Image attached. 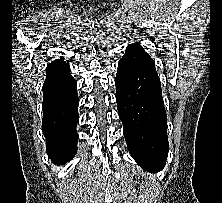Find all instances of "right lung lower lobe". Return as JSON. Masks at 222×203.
<instances>
[{
  "label": "right lung lower lobe",
  "instance_id": "1",
  "mask_svg": "<svg viewBox=\"0 0 222 203\" xmlns=\"http://www.w3.org/2000/svg\"><path fill=\"white\" fill-rule=\"evenodd\" d=\"M77 83L70 65L61 59L48 64L43 85L42 129L48 156L55 164H64L76 153L79 121Z\"/></svg>",
  "mask_w": 222,
  "mask_h": 203
}]
</instances>
